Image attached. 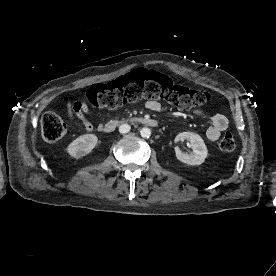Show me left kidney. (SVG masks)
Returning a JSON list of instances; mask_svg holds the SVG:
<instances>
[{
	"label": "left kidney",
	"instance_id": "5707ae66",
	"mask_svg": "<svg viewBox=\"0 0 276 276\" xmlns=\"http://www.w3.org/2000/svg\"><path fill=\"white\" fill-rule=\"evenodd\" d=\"M184 140H188L190 142L192 153H183L178 147H175L177 159L188 165L202 164L208 155V150L201 136L193 132H182L175 138V142Z\"/></svg>",
	"mask_w": 276,
	"mask_h": 276
}]
</instances>
